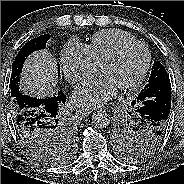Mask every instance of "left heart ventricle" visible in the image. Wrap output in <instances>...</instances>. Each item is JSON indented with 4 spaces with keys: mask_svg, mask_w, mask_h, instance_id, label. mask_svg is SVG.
<instances>
[{
    "mask_svg": "<svg viewBox=\"0 0 184 184\" xmlns=\"http://www.w3.org/2000/svg\"><path fill=\"white\" fill-rule=\"evenodd\" d=\"M145 58V52L140 47L134 46L125 50L115 61L102 65L99 71L109 76L117 87L121 88L138 76Z\"/></svg>",
    "mask_w": 184,
    "mask_h": 184,
    "instance_id": "b2bd125f",
    "label": "left heart ventricle"
}]
</instances>
